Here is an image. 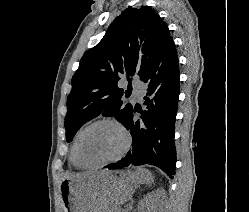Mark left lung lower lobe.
<instances>
[{
	"mask_svg": "<svg viewBox=\"0 0 249 212\" xmlns=\"http://www.w3.org/2000/svg\"><path fill=\"white\" fill-rule=\"evenodd\" d=\"M174 42H169L142 77L147 84L146 110L135 106L122 124L130 131L133 149L121 161L107 165L121 169L129 165L150 164L162 169L170 178L175 174V120L179 97V65ZM141 120H133L134 114Z\"/></svg>",
	"mask_w": 249,
	"mask_h": 212,
	"instance_id": "1",
	"label": "left lung lower lobe"
}]
</instances>
